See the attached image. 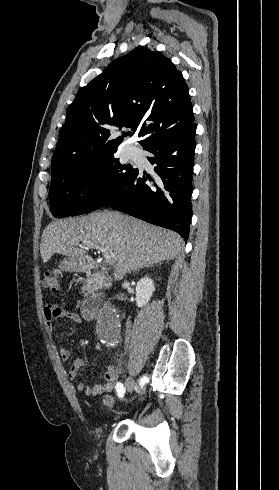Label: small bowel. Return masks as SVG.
I'll return each mask as SVG.
<instances>
[{
  "label": "small bowel",
  "instance_id": "obj_1",
  "mask_svg": "<svg viewBox=\"0 0 279 490\" xmlns=\"http://www.w3.org/2000/svg\"><path fill=\"white\" fill-rule=\"evenodd\" d=\"M44 323L47 328H51L53 323L59 319H65L73 323H80L81 316L79 313L73 310L58 307L54 304H49L43 311ZM97 351L102 350L101 345H96ZM60 357L63 361H68L71 358V351L66 347L59 349ZM80 371H86L85 363L82 359H75L68 372V377L71 380H75ZM115 384V372L114 367L110 365L103 375V383H97L93 386H86L83 383L76 385V391L83 393L87 396H100L112 392Z\"/></svg>",
  "mask_w": 279,
  "mask_h": 490
}]
</instances>
